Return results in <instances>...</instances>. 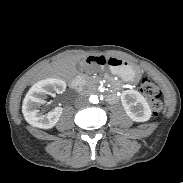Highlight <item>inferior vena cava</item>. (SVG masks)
Here are the masks:
<instances>
[{"label": "inferior vena cava", "mask_w": 183, "mask_h": 183, "mask_svg": "<svg viewBox=\"0 0 183 183\" xmlns=\"http://www.w3.org/2000/svg\"><path fill=\"white\" fill-rule=\"evenodd\" d=\"M88 103V100L85 97L78 98L76 104L77 105H86Z\"/></svg>", "instance_id": "inferior-vena-cava-1"}]
</instances>
